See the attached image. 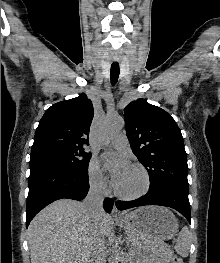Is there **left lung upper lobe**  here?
I'll return each mask as SVG.
<instances>
[{
	"label": "left lung upper lobe",
	"mask_w": 220,
	"mask_h": 263,
	"mask_svg": "<svg viewBox=\"0 0 220 263\" xmlns=\"http://www.w3.org/2000/svg\"><path fill=\"white\" fill-rule=\"evenodd\" d=\"M124 119L131 149L148 171L149 189L172 186L188 192L183 137L172 116L137 99L125 107Z\"/></svg>",
	"instance_id": "obj_1"
}]
</instances>
